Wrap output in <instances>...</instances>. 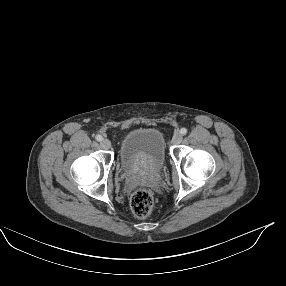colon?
I'll list each match as a JSON object with an SVG mask.
<instances>
[{
  "mask_svg": "<svg viewBox=\"0 0 286 286\" xmlns=\"http://www.w3.org/2000/svg\"><path fill=\"white\" fill-rule=\"evenodd\" d=\"M130 205L135 216L139 218L149 216L154 206L152 193L148 189L138 188L131 197Z\"/></svg>",
  "mask_w": 286,
  "mask_h": 286,
  "instance_id": "5ec220e1",
  "label": "colon"
}]
</instances>
